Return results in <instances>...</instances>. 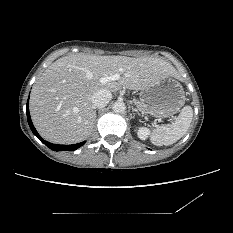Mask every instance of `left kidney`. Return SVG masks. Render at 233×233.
<instances>
[{"mask_svg": "<svg viewBox=\"0 0 233 233\" xmlns=\"http://www.w3.org/2000/svg\"><path fill=\"white\" fill-rule=\"evenodd\" d=\"M149 129L146 128V127H140L138 129V132H137V135L138 137L141 139V140H146L148 138V135H149Z\"/></svg>", "mask_w": 233, "mask_h": 233, "instance_id": "5707ae66", "label": "left kidney"}]
</instances>
